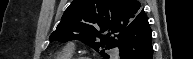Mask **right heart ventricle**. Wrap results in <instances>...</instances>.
<instances>
[{"label": "right heart ventricle", "mask_w": 193, "mask_h": 59, "mask_svg": "<svg viewBox=\"0 0 193 59\" xmlns=\"http://www.w3.org/2000/svg\"><path fill=\"white\" fill-rule=\"evenodd\" d=\"M73 51L67 48H64L55 59H71Z\"/></svg>", "instance_id": "1"}]
</instances>
